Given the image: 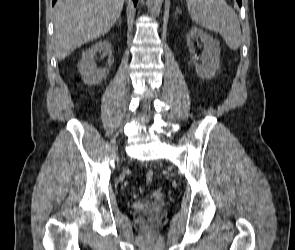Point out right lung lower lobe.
Listing matches in <instances>:
<instances>
[{"label":"right lung lower lobe","mask_w":295,"mask_h":250,"mask_svg":"<svg viewBox=\"0 0 295 250\" xmlns=\"http://www.w3.org/2000/svg\"><path fill=\"white\" fill-rule=\"evenodd\" d=\"M137 1L138 0H133V2H134L135 5H136ZM55 2H56V0H53V5H54Z\"/></svg>","instance_id":"obj_1"}]
</instances>
